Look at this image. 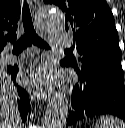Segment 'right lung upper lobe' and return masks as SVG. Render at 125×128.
Masks as SVG:
<instances>
[{
  "label": "right lung upper lobe",
  "instance_id": "cb5924a9",
  "mask_svg": "<svg viewBox=\"0 0 125 128\" xmlns=\"http://www.w3.org/2000/svg\"><path fill=\"white\" fill-rule=\"evenodd\" d=\"M20 11V0H0V53L8 42L17 38Z\"/></svg>",
  "mask_w": 125,
  "mask_h": 128
}]
</instances>
